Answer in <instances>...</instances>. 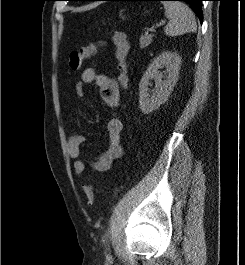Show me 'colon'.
<instances>
[{
    "label": "colon",
    "mask_w": 245,
    "mask_h": 265,
    "mask_svg": "<svg viewBox=\"0 0 245 265\" xmlns=\"http://www.w3.org/2000/svg\"><path fill=\"white\" fill-rule=\"evenodd\" d=\"M112 42L115 45V58L120 69V75L118 77V83L122 88H126L128 84V57H129V42L126 34L121 31H116L112 37ZM105 40H100L82 47L69 54V67L73 71H77L81 68L84 61L94 56L104 45ZM84 193L88 200V203L92 205L95 199V190L92 186H85Z\"/></svg>",
    "instance_id": "1"
}]
</instances>
